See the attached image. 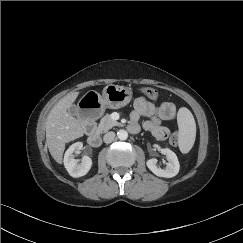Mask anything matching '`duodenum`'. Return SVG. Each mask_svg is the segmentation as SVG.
<instances>
[{
  "instance_id": "duodenum-1",
  "label": "duodenum",
  "mask_w": 243,
  "mask_h": 243,
  "mask_svg": "<svg viewBox=\"0 0 243 243\" xmlns=\"http://www.w3.org/2000/svg\"><path fill=\"white\" fill-rule=\"evenodd\" d=\"M86 129L88 132L87 141L92 147H98L101 145V137L100 135L95 131V124L92 122L86 123Z\"/></svg>"
}]
</instances>
